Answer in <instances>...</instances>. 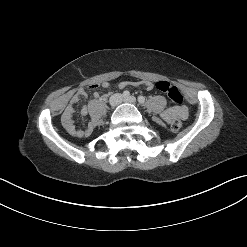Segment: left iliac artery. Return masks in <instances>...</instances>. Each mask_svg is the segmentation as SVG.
Segmentation results:
<instances>
[{
	"label": "left iliac artery",
	"instance_id": "1",
	"mask_svg": "<svg viewBox=\"0 0 247 247\" xmlns=\"http://www.w3.org/2000/svg\"><path fill=\"white\" fill-rule=\"evenodd\" d=\"M138 102L143 104L145 102V97L144 96H139L138 97Z\"/></svg>",
	"mask_w": 247,
	"mask_h": 247
}]
</instances>
